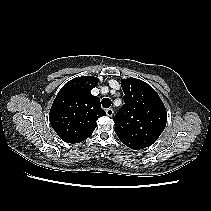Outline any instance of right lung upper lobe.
Instances as JSON below:
<instances>
[{"label":"right lung upper lobe","instance_id":"1","mask_svg":"<svg viewBox=\"0 0 211 211\" xmlns=\"http://www.w3.org/2000/svg\"><path fill=\"white\" fill-rule=\"evenodd\" d=\"M98 84L93 76H82L66 83L57 94L49 114L50 124L67 143H79L88 138L106 112L100 99L91 94Z\"/></svg>","mask_w":211,"mask_h":211}]
</instances>
